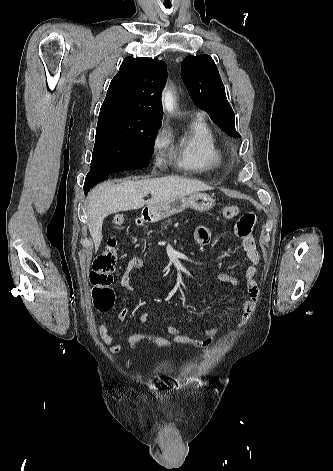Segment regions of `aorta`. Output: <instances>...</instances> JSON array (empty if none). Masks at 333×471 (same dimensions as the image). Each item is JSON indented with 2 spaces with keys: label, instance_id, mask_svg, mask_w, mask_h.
<instances>
[{
  "label": "aorta",
  "instance_id": "762f6f07",
  "mask_svg": "<svg viewBox=\"0 0 333 471\" xmlns=\"http://www.w3.org/2000/svg\"><path fill=\"white\" fill-rule=\"evenodd\" d=\"M163 102H164V107L168 111L173 110V97L170 91L166 92L164 97H163Z\"/></svg>",
  "mask_w": 333,
  "mask_h": 471
}]
</instances>
